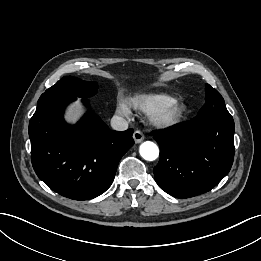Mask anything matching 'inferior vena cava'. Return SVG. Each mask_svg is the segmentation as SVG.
Instances as JSON below:
<instances>
[{"mask_svg": "<svg viewBox=\"0 0 261 261\" xmlns=\"http://www.w3.org/2000/svg\"><path fill=\"white\" fill-rule=\"evenodd\" d=\"M111 127L116 131H124L128 129V122L123 117L114 115L111 119Z\"/></svg>", "mask_w": 261, "mask_h": 261, "instance_id": "602c4592", "label": "inferior vena cava"}]
</instances>
